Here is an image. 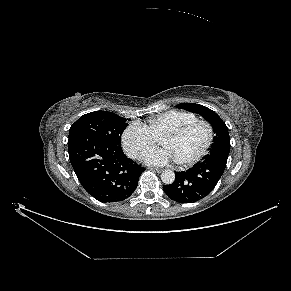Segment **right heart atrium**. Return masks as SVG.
Returning a JSON list of instances; mask_svg holds the SVG:
<instances>
[{
  "instance_id": "obj_1",
  "label": "right heart atrium",
  "mask_w": 291,
  "mask_h": 291,
  "mask_svg": "<svg viewBox=\"0 0 291 291\" xmlns=\"http://www.w3.org/2000/svg\"><path fill=\"white\" fill-rule=\"evenodd\" d=\"M159 139L144 124L135 122L123 132L122 144L129 156L139 159L146 151L153 148Z\"/></svg>"
}]
</instances>
